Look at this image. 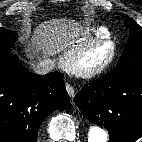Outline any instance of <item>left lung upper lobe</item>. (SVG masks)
I'll return each mask as SVG.
<instances>
[{
  "label": "left lung upper lobe",
  "mask_w": 142,
  "mask_h": 142,
  "mask_svg": "<svg viewBox=\"0 0 142 142\" xmlns=\"http://www.w3.org/2000/svg\"><path fill=\"white\" fill-rule=\"evenodd\" d=\"M124 24L130 30V37L120 61L111 71L113 74L142 70V27L131 18L125 19Z\"/></svg>",
  "instance_id": "5c2ea615"
}]
</instances>
